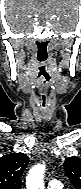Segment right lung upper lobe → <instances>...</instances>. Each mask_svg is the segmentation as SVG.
Segmentation results:
<instances>
[{
    "label": "right lung upper lobe",
    "mask_w": 81,
    "mask_h": 189,
    "mask_svg": "<svg viewBox=\"0 0 81 189\" xmlns=\"http://www.w3.org/2000/svg\"><path fill=\"white\" fill-rule=\"evenodd\" d=\"M29 158L24 153H10L0 158V189H21L20 177Z\"/></svg>",
    "instance_id": "right-lung-upper-lobe-1"
}]
</instances>
